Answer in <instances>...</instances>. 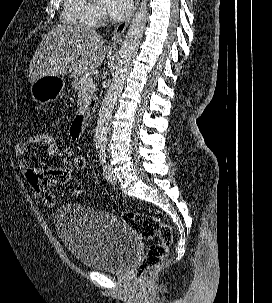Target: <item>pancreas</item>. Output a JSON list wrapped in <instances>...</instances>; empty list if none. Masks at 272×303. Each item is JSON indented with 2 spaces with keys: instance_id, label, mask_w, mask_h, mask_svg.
Returning a JSON list of instances; mask_svg holds the SVG:
<instances>
[{
  "instance_id": "obj_1",
  "label": "pancreas",
  "mask_w": 272,
  "mask_h": 303,
  "mask_svg": "<svg viewBox=\"0 0 272 303\" xmlns=\"http://www.w3.org/2000/svg\"><path fill=\"white\" fill-rule=\"evenodd\" d=\"M83 76H85V74L74 77L72 88L78 94V105H80L81 107H86L93 98L96 88L94 84L90 86L82 85L81 79Z\"/></svg>"
}]
</instances>
